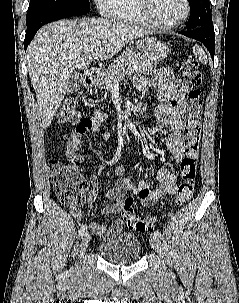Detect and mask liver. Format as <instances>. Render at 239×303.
Returning a JSON list of instances; mask_svg holds the SVG:
<instances>
[{"label": "liver", "mask_w": 239, "mask_h": 303, "mask_svg": "<svg viewBox=\"0 0 239 303\" xmlns=\"http://www.w3.org/2000/svg\"><path fill=\"white\" fill-rule=\"evenodd\" d=\"M147 31L110 19L61 20L42 27L27 49L28 72L42 127L47 128L68 91L75 69L115 56ZM96 46L90 51V46Z\"/></svg>", "instance_id": "obj_1"}]
</instances>
